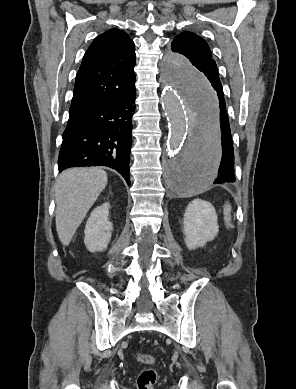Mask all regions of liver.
<instances>
[{"mask_svg":"<svg viewBox=\"0 0 296 389\" xmlns=\"http://www.w3.org/2000/svg\"><path fill=\"white\" fill-rule=\"evenodd\" d=\"M107 181V173L95 167L68 169L59 175L55 185V220L63 245H69Z\"/></svg>","mask_w":296,"mask_h":389,"instance_id":"6515ba94","label":"liver"}]
</instances>
